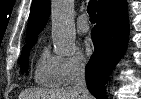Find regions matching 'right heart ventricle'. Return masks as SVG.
Here are the masks:
<instances>
[{"mask_svg": "<svg viewBox=\"0 0 141 99\" xmlns=\"http://www.w3.org/2000/svg\"><path fill=\"white\" fill-rule=\"evenodd\" d=\"M35 82L43 87H58L62 84L59 67V57L43 49L36 62L34 70Z\"/></svg>", "mask_w": 141, "mask_h": 99, "instance_id": "1", "label": "right heart ventricle"}]
</instances>
